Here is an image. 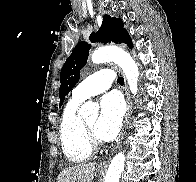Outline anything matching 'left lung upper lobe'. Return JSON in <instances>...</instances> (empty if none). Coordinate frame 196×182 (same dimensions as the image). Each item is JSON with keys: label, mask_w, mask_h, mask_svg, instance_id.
I'll list each match as a JSON object with an SVG mask.
<instances>
[{"label": "left lung upper lobe", "mask_w": 196, "mask_h": 182, "mask_svg": "<svg viewBox=\"0 0 196 182\" xmlns=\"http://www.w3.org/2000/svg\"><path fill=\"white\" fill-rule=\"evenodd\" d=\"M122 19L115 18L110 15L103 16L102 26L97 33H91V42H115L125 43L132 49L133 43L130 35L124 29ZM90 45L86 42H80L77 44L72 54L68 57L64 63L61 73L59 89L60 105L62 106L66 95L77 84L80 78V70L86 64Z\"/></svg>", "instance_id": "5c2ea615"}]
</instances>
